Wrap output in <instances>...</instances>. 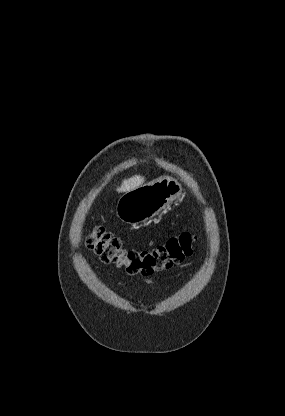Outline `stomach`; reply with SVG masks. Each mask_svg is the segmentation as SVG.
Segmentation results:
<instances>
[{"label":"stomach","mask_w":285,"mask_h":416,"mask_svg":"<svg viewBox=\"0 0 285 416\" xmlns=\"http://www.w3.org/2000/svg\"><path fill=\"white\" fill-rule=\"evenodd\" d=\"M182 186L175 178L161 176L150 184L126 192L117 202L116 214L125 224L148 222L178 200Z\"/></svg>","instance_id":"obj_1"}]
</instances>
